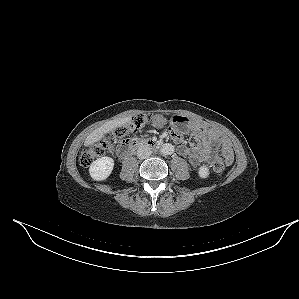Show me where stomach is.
Instances as JSON below:
<instances>
[{
	"label": "stomach",
	"mask_w": 299,
	"mask_h": 299,
	"mask_svg": "<svg viewBox=\"0 0 299 299\" xmlns=\"http://www.w3.org/2000/svg\"><path fill=\"white\" fill-rule=\"evenodd\" d=\"M166 123V119L162 115H155L154 125L156 127H162ZM172 123L175 124L181 131H189L190 120L184 116L176 115L172 119Z\"/></svg>",
	"instance_id": "stomach-1"
}]
</instances>
